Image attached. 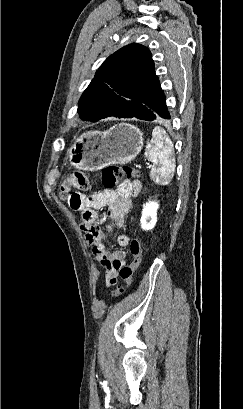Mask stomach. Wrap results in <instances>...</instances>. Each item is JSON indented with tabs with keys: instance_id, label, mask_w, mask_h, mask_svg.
<instances>
[{
	"instance_id": "1",
	"label": "stomach",
	"mask_w": 243,
	"mask_h": 409,
	"mask_svg": "<svg viewBox=\"0 0 243 409\" xmlns=\"http://www.w3.org/2000/svg\"><path fill=\"white\" fill-rule=\"evenodd\" d=\"M143 133L134 125L119 123L107 131H90L68 150L69 162L79 170L96 171L110 164H126L140 153Z\"/></svg>"
}]
</instances>
